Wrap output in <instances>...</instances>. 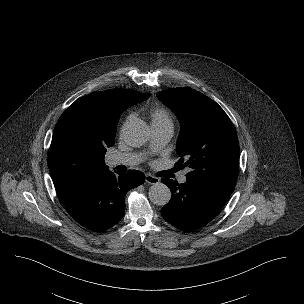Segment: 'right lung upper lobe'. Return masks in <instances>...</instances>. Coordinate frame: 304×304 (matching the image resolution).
Masks as SVG:
<instances>
[{
    "label": "right lung upper lobe",
    "mask_w": 304,
    "mask_h": 304,
    "mask_svg": "<svg viewBox=\"0 0 304 304\" xmlns=\"http://www.w3.org/2000/svg\"><path fill=\"white\" fill-rule=\"evenodd\" d=\"M150 95L111 89L86 95L64 111L55 126L48 157L56 193L63 204L108 168L104 156L106 148L114 144L119 116Z\"/></svg>",
    "instance_id": "1"
}]
</instances>
